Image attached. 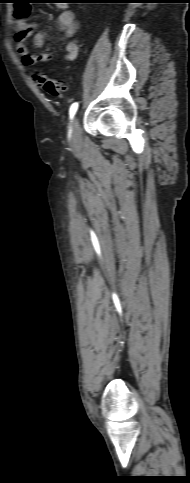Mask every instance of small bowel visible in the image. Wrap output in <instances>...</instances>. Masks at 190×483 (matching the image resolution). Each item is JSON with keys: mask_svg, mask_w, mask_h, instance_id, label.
<instances>
[{"mask_svg": "<svg viewBox=\"0 0 190 483\" xmlns=\"http://www.w3.org/2000/svg\"><path fill=\"white\" fill-rule=\"evenodd\" d=\"M29 13V7L27 9V15ZM17 17V15H16ZM56 24L63 31V37L66 40L64 58L66 61H74L78 54V46L74 38L78 31V24L73 11L64 9L60 11L57 16ZM35 29L33 24L28 23L24 18L16 19V34L15 43L16 50L25 66L32 67L38 63L49 60L54 52L46 53H32L29 51L26 40L30 37ZM46 34L44 32H38L33 35L32 43L35 47L41 48L45 44Z\"/></svg>", "mask_w": 190, "mask_h": 483, "instance_id": "obj_1", "label": "small bowel"}]
</instances>
